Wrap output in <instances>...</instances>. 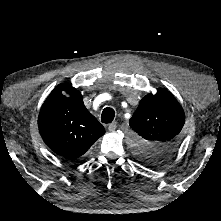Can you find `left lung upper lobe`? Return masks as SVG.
Segmentation results:
<instances>
[{"mask_svg":"<svg viewBox=\"0 0 221 221\" xmlns=\"http://www.w3.org/2000/svg\"><path fill=\"white\" fill-rule=\"evenodd\" d=\"M184 122L183 109L169 91L159 88L155 95H146L129 120L137 159L152 167L166 163L179 146Z\"/></svg>","mask_w":221,"mask_h":221,"instance_id":"1","label":"left lung upper lobe"}]
</instances>
